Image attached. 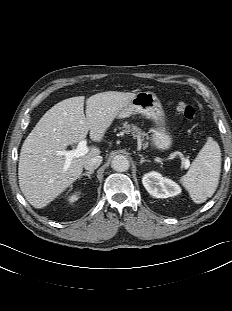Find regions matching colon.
I'll list each match as a JSON object with an SVG mask.
<instances>
[{
    "mask_svg": "<svg viewBox=\"0 0 232 311\" xmlns=\"http://www.w3.org/2000/svg\"><path fill=\"white\" fill-rule=\"evenodd\" d=\"M177 111L187 120L192 121L197 117L196 109L186 103H178L177 104Z\"/></svg>",
    "mask_w": 232,
    "mask_h": 311,
    "instance_id": "5ec220e1",
    "label": "colon"
}]
</instances>
